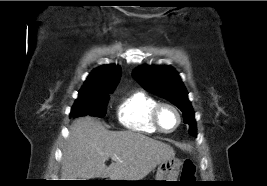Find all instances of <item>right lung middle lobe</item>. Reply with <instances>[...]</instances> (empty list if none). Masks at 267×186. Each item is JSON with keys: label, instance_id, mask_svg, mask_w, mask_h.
Listing matches in <instances>:
<instances>
[{"label": "right lung middle lobe", "instance_id": "1", "mask_svg": "<svg viewBox=\"0 0 267 186\" xmlns=\"http://www.w3.org/2000/svg\"><path fill=\"white\" fill-rule=\"evenodd\" d=\"M113 89H103L99 91L79 92L70 113V117L79 116H97L104 117L107 110L108 93H112Z\"/></svg>", "mask_w": 267, "mask_h": 186}]
</instances>
